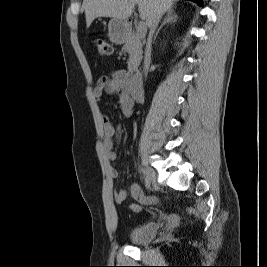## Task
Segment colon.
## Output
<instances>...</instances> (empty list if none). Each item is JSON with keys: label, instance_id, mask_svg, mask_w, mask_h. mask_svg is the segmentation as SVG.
<instances>
[{"label": "colon", "instance_id": "colon-1", "mask_svg": "<svg viewBox=\"0 0 267 267\" xmlns=\"http://www.w3.org/2000/svg\"><path fill=\"white\" fill-rule=\"evenodd\" d=\"M95 47L101 56H108L112 53L110 43L102 37H97L94 40Z\"/></svg>", "mask_w": 267, "mask_h": 267}]
</instances>
